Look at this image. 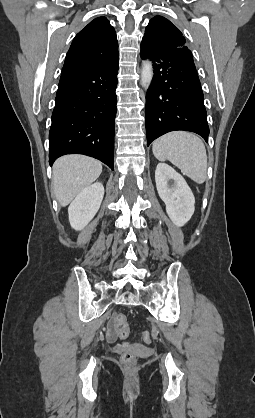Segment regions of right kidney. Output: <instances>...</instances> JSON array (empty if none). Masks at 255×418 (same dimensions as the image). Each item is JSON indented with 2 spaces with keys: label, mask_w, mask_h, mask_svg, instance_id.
<instances>
[{
  "label": "right kidney",
  "mask_w": 255,
  "mask_h": 418,
  "mask_svg": "<svg viewBox=\"0 0 255 418\" xmlns=\"http://www.w3.org/2000/svg\"><path fill=\"white\" fill-rule=\"evenodd\" d=\"M104 196V186L96 182L83 189L68 208L69 222L73 229L82 230L96 215Z\"/></svg>",
  "instance_id": "1"
}]
</instances>
